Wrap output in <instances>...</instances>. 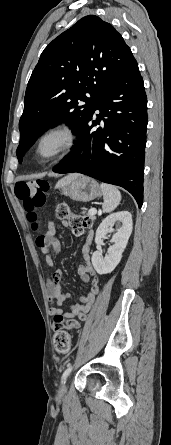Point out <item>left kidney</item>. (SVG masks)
I'll return each instance as SVG.
<instances>
[{"label": "left kidney", "mask_w": 171, "mask_h": 445, "mask_svg": "<svg viewBox=\"0 0 171 445\" xmlns=\"http://www.w3.org/2000/svg\"><path fill=\"white\" fill-rule=\"evenodd\" d=\"M114 224L120 225V228L112 236L110 242L113 244L108 248L105 257L102 255V250L98 249L91 258L93 267L98 274L111 273L119 264L132 233V215L127 211H121L107 216L96 230L95 243L97 245H100L102 239L113 230Z\"/></svg>", "instance_id": "5707ae66"}]
</instances>
